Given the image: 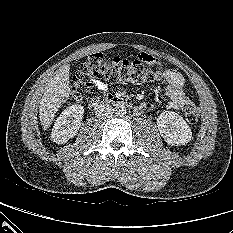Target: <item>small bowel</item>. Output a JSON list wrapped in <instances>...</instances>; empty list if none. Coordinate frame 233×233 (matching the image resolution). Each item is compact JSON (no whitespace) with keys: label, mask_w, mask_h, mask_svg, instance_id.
<instances>
[{"label":"small bowel","mask_w":233,"mask_h":233,"mask_svg":"<svg viewBox=\"0 0 233 233\" xmlns=\"http://www.w3.org/2000/svg\"><path fill=\"white\" fill-rule=\"evenodd\" d=\"M140 58H142L147 64L157 65L158 67L161 66L160 62L152 55L141 54ZM164 76L167 83L166 94L170 99L167 107L172 110L182 109L185 105L189 103V98L186 96L184 91V77L181 73L173 69L165 70ZM93 85L100 92H105L107 90V85L100 80H93Z\"/></svg>","instance_id":"1"}]
</instances>
